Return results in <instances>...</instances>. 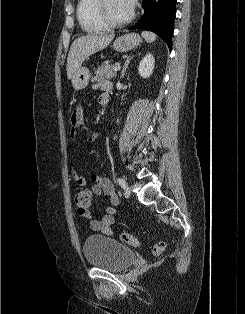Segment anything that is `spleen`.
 I'll use <instances>...</instances> for the list:
<instances>
[{
  "label": "spleen",
  "instance_id": "3e777b00",
  "mask_svg": "<svg viewBox=\"0 0 245 314\" xmlns=\"http://www.w3.org/2000/svg\"><path fill=\"white\" fill-rule=\"evenodd\" d=\"M141 35L149 43H151V42L156 40V35L153 32L142 31Z\"/></svg>",
  "mask_w": 245,
  "mask_h": 314
}]
</instances>
